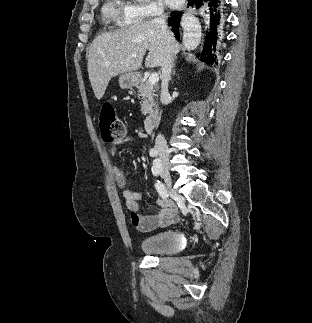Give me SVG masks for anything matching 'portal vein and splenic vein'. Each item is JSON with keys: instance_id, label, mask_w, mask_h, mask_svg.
Returning <instances> with one entry per match:
<instances>
[{"instance_id": "18ae733b", "label": "portal vein and splenic vein", "mask_w": 312, "mask_h": 323, "mask_svg": "<svg viewBox=\"0 0 312 323\" xmlns=\"http://www.w3.org/2000/svg\"><path fill=\"white\" fill-rule=\"evenodd\" d=\"M137 54H132V58H136ZM159 78H158V74H151L150 78H149V82L150 84H156V82H158Z\"/></svg>"}]
</instances>
